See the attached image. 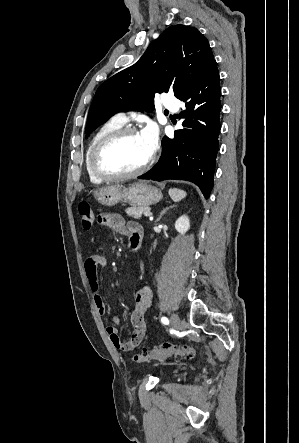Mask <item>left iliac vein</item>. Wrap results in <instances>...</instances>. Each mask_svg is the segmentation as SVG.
<instances>
[{
  "label": "left iliac vein",
  "instance_id": "obj_1",
  "mask_svg": "<svg viewBox=\"0 0 299 443\" xmlns=\"http://www.w3.org/2000/svg\"><path fill=\"white\" fill-rule=\"evenodd\" d=\"M170 322H171L172 327L175 330L179 331L182 329V323H181V320L177 314L173 313L171 315Z\"/></svg>",
  "mask_w": 299,
  "mask_h": 443
}]
</instances>
